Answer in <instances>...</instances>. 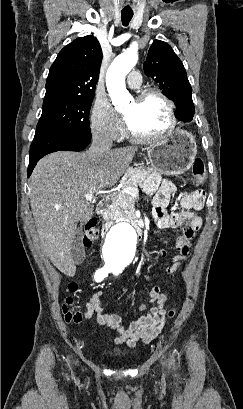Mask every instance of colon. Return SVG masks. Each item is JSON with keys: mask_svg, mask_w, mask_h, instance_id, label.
Listing matches in <instances>:
<instances>
[{"mask_svg": "<svg viewBox=\"0 0 243 409\" xmlns=\"http://www.w3.org/2000/svg\"><path fill=\"white\" fill-rule=\"evenodd\" d=\"M191 173L193 183L195 185H202L207 178V170L204 162L200 159L195 160L192 164ZM98 240L99 234L96 229V224L95 222L91 221L86 225L85 233L83 236V243L86 247H93L97 244ZM76 290L77 285L75 283L69 284L68 286L69 292H75ZM62 311L64 318L67 322L78 323L82 320L81 312L74 306L73 300L70 297L65 299L62 306ZM175 313L176 310L172 308L167 312V317L173 318Z\"/></svg>", "mask_w": 243, "mask_h": 409, "instance_id": "obj_1", "label": "colon"}]
</instances>
